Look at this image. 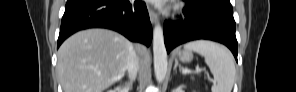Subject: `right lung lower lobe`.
<instances>
[{
	"label": "right lung lower lobe",
	"mask_w": 296,
	"mask_h": 92,
	"mask_svg": "<svg viewBox=\"0 0 296 92\" xmlns=\"http://www.w3.org/2000/svg\"><path fill=\"white\" fill-rule=\"evenodd\" d=\"M87 28L115 30L131 41L149 46L152 26L146 5L133 0H68L58 38L61 43L73 33Z\"/></svg>",
	"instance_id": "98d812e1"
}]
</instances>
